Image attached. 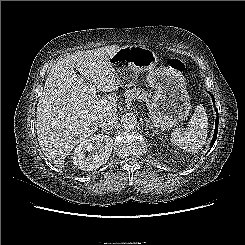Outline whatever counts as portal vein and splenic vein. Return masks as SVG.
I'll list each match as a JSON object with an SVG mask.
<instances>
[{
  "instance_id": "18ae733b",
  "label": "portal vein and splenic vein",
  "mask_w": 245,
  "mask_h": 245,
  "mask_svg": "<svg viewBox=\"0 0 245 245\" xmlns=\"http://www.w3.org/2000/svg\"><path fill=\"white\" fill-rule=\"evenodd\" d=\"M89 87H90V92H91L92 94H96V88H95V86L89 84Z\"/></svg>"
}]
</instances>
